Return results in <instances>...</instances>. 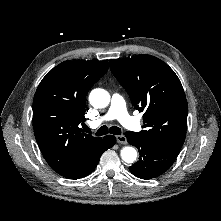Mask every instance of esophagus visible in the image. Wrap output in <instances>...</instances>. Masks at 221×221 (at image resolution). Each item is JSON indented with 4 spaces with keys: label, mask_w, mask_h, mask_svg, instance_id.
<instances>
[{
    "label": "esophagus",
    "mask_w": 221,
    "mask_h": 221,
    "mask_svg": "<svg viewBox=\"0 0 221 221\" xmlns=\"http://www.w3.org/2000/svg\"><path fill=\"white\" fill-rule=\"evenodd\" d=\"M116 139L119 144H126L127 143V139L124 135H118L116 137Z\"/></svg>",
    "instance_id": "1"
}]
</instances>
